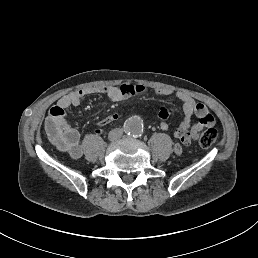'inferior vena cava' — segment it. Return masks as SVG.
<instances>
[{"instance_id":"602c4592","label":"inferior vena cava","mask_w":258,"mask_h":258,"mask_svg":"<svg viewBox=\"0 0 258 258\" xmlns=\"http://www.w3.org/2000/svg\"><path fill=\"white\" fill-rule=\"evenodd\" d=\"M122 130L121 129H116V130H112L110 133H109V139L110 140H119L120 139V137H121V135H122Z\"/></svg>"}]
</instances>
